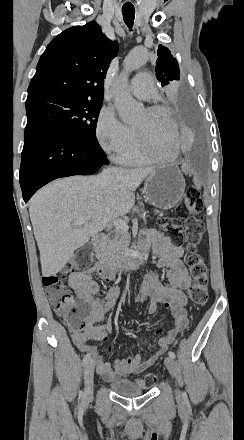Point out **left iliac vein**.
I'll use <instances>...</instances> for the list:
<instances>
[{
  "instance_id": "4c4485c4",
  "label": "left iliac vein",
  "mask_w": 244,
  "mask_h": 440,
  "mask_svg": "<svg viewBox=\"0 0 244 440\" xmlns=\"http://www.w3.org/2000/svg\"><path fill=\"white\" fill-rule=\"evenodd\" d=\"M165 365L170 372V374L175 377L177 373V366L176 361L172 357H166L165 358ZM175 395L180 396L179 390H175Z\"/></svg>"
}]
</instances>
